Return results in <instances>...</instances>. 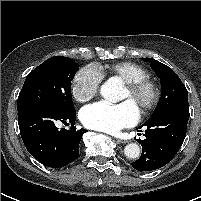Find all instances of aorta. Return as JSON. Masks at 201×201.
I'll return each instance as SVG.
<instances>
[{
  "instance_id": "obj_1",
  "label": "aorta",
  "mask_w": 201,
  "mask_h": 201,
  "mask_svg": "<svg viewBox=\"0 0 201 201\" xmlns=\"http://www.w3.org/2000/svg\"><path fill=\"white\" fill-rule=\"evenodd\" d=\"M119 90L118 85L108 80L101 86L100 93L104 99L110 102H116L118 100ZM124 154L130 159H136L140 155V147L136 143L127 144L124 148Z\"/></svg>"
}]
</instances>
